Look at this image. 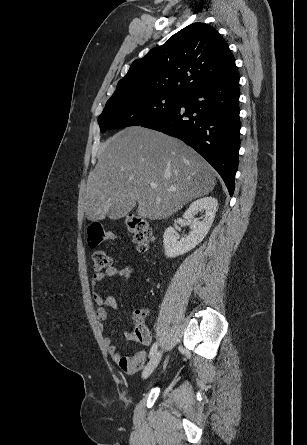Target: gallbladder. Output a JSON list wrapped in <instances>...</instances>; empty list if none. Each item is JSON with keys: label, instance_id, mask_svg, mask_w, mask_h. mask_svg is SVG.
I'll use <instances>...</instances> for the list:
<instances>
[{"label": "gallbladder", "instance_id": "bac80fb5", "mask_svg": "<svg viewBox=\"0 0 307 445\" xmlns=\"http://www.w3.org/2000/svg\"><path fill=\"white\" fill-rule=\"evenodd\" d=\"M138 207L139 204L136 200H132L130 196H123L122 200L114 205L113 211H109L107 213V216L112 218V220L118 218L125 219L127 218L129 212L134 211V209H137Z\"/></svg>", "mask_w": 307, "mask_h": 445}]
</instances>
